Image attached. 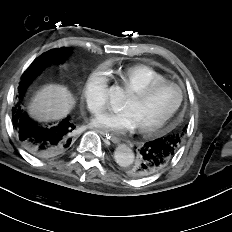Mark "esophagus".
I'll return each instance as SVG.
<instances>
[{
	"label": "esophagus",
	"mask_w": 232,
	"mask_h": 232,
	"mask_svg": "<svg viewBox=\"0 0 232 232\" xmlns=\"http://www.w3.org/2000/svg\"><path fill=\"white\" fill-rule=\"evenodd\" d=\"M96 132H98L99 134L103 135L105 137L106 140L108 141H112L113 143H118L119 142V139L117 137H112L109 133L101 130V129H98V128H95L94 129Z\"/></svg>",
	"instance_id": "esophagus-1"
}]
</instances>
